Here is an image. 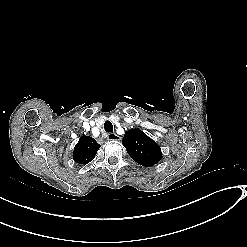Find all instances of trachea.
Here are the masks:
<instances>
[{
  "label": "trachea",
  "mask_w": 247,
  "mask_h": 247,
  "mask_svg": "<svg viewBox=\"0 0 247 247\" xmlns=\"http://www.w3.org/2000/svg\"><path fill=\"white\" fill-rule=\"evenodd\" d=\"M104 130L106 132H109V133H112L113 132V125H112V123L110 121H106L104 123Z\"/></svg>",
  "instance_id": "3493384b"
}]
</instances>
